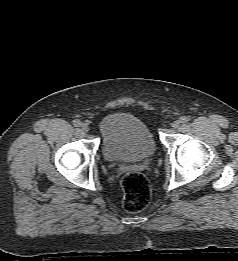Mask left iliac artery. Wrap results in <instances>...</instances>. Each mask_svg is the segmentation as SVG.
I'll list each match as a JSON object with an SVG mask.
<instances>
[{
	"label": "left iliac artery",
	"instance_id": "44dca946",
	"mask_svg": "<svg viewBox=\"0 0 238 261\" xmlns=\"http://www.w3.org/2000/svg\"><path fill=\"white\" fill-rule=\"evenodd\" d=\"M189 121V117H187V116H182L181 118H180V122L181 123H186V122H188Z\"/></svg>",
	"mask_w": 238,
	"mask_h": 261
}]
</instances>
